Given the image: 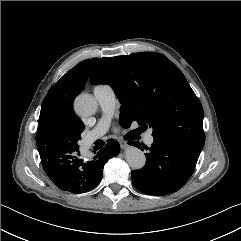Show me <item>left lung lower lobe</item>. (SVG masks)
Segmentation results:
<instances>
[{
    "instance_id": "left-lung-lower-lobe-1",
    "label": "left lung lower lobe",
    "mask_w": 241,
    "mask_h": 241,
    "mask_svg": "<svg viewBox=\"0 0 241 241\" xmlns=\"http://www.w3.org/2000/svg\"><path fill=\"white\" fill-rule=\"evenodd\" d=\"M129 144L142 150L138 141ZM147 149L145 166L132 171L131 178L139 191L156 196L182 188L192 175L202 150L168 137H154L152 146Z\"/></svg>"
}]
</instances>
